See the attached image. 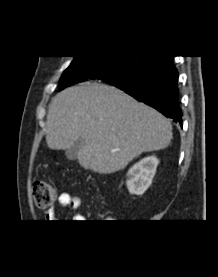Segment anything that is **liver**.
<instances>
[{"label": "liver", "instance_id": "obj_1", "mask_svg": "<svg viewBox=\"0 0 218 277\" xmlns=\"http://www.w3.org/2000/svg\"><path fill=\"white\" fill-rule=\"evenodd\" d=\"M50 149L65 150L82 138L78 162L101 174L122 170L143 152L165 149L171 122L123 91L101 83H83L58 93L46 123Z\"/></svg>", "mask_w": 218, "mask_h": 277}]
</instances>
